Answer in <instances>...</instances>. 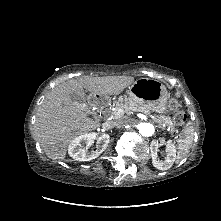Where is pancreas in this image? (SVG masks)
Segmentation results:
<instances>
[{
  "instance_id": "obj_1",
  "label": "pancreas",
  "mask_w": 221,
  "mask_h": 221,
  "mask_svg": "<svg viewBox=\"0 0 221 221\" xmlns=\"http://www.w3.org/2000/svg\"><path fill=\"white\" fill-rule=\"evenodd\" d=\"M123 109L125 111V113L131 111V110H138L140 112H143L145 114H149L150 111L149 109H147L144 106H140L139 104H137L136 102H134L133 100H131L130 98H127L126 96L122 97L120 96L118 98V101L116 102V109ZM116 110L111 111V113L113 114ZM156 122H158L161 126H167L168 128L171 129V131H173L174 126L172 123V120L169 116H159L158 119H156Z\"/></svg>"
}]
</instances>
